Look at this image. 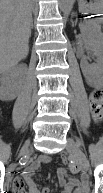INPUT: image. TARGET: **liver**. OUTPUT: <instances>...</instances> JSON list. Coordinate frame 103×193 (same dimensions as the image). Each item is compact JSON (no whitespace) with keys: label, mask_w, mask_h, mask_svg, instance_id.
<instances>
[{"label":"liver","mask_w":103,"mask_h":193,"mask_svg":"<svg viewBox=\"0 0 103 193\" xmlns=\"http://www.w3.org/2000/svg\"><path fill=\"white\" fill-rule=\"evenodd\" d=\"M33 0H1L0 70L16 66L29 52Z\"/></svg>","instance_id":"6515ba94"}]
</instances>
